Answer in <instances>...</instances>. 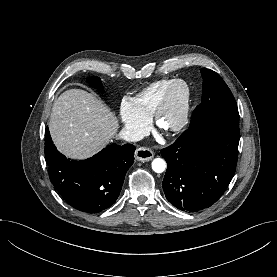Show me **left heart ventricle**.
I'll list each match as a JSON object with an SVG mask.
<instances>
[{
  "mask_svg": "<svg viewBox=\"0 0 277 277\" xmlns=\"http://www.w3.org/2000/svg\"><path fill=\"white\" fill-rule=\"evenodd\" d=\"M183 94L184 91L182 87H177L173 92L169 106L162 118V126H171L176 121Z\"/></svg>",
  "mask_w": 277,
  "mask_h": 277,
  "instance_id": "obj_1",
  "label": "left heart ventricle"
}]
</instances>
